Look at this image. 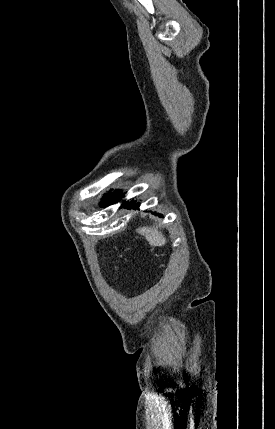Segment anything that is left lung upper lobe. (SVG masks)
I'll use <instances>...</instances> for the list:
<instances>
[{
	"mask_svg": "<svg viewBox=\"0 0 275 429\" xmlns=\"http://www.w3.org/2000/svg\"><path fill=\"white\" fill-rule=\"evenodd\" d=\"M111 197H115V198H111ZM123 197L122 195V191L121 190H115L114 192L105 194V196L102 198L101 202V206H108L110 204H114L116 202H118L119 200H121V198Z\"/></svg>",
	"mask_w": 275,
	"mask_h": 429,
	"instance_id": "left-lung-upper-lobe-1",
	"label": "left lung upper lobe"
}]
</instances>
